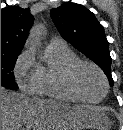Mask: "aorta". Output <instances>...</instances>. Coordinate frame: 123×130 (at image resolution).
<instances>
[{
  "label": "aorta",
  "mask_w": 123,
  "mask_h": 130,
  "mask_svg": "<svg viewBox=\"0 0 123 130\" xmlns=\"http://www.w3.org/2000/svg\"><path fill=\"white\" fill-rule=\"evenodd\" d=\"M43 33V27L41 25H35L29 35V39L32 45L37 46L40 43Z\"/></svg>",
  "instance_id": "762f6f07"
}]
</instances>
